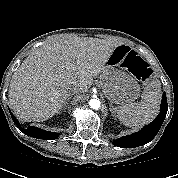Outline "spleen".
Instances as JSON below:
<instances>
[{
	"label": "spleen",
	"instance_id": "1",
	"mask_svg": "<svg viewBox=\"0 0 178 178\" xmlns=\"http://www.w3.org/2000/svg\"><path fill=\"white\" fill-rule=\"evenodd\" d=\"M141 101L114 108L118 119L128 127H139L150 122L158 112L161 99V85L152 80L144 89Z\"/></svg>",
	"mask_w": 178,
	"mask_h": 178
}]
</instances>
